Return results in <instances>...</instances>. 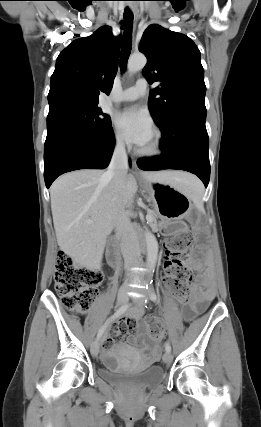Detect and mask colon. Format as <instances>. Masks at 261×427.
Segmentation results:
<instances>
[{"mask_svg":"<svg viewBox=\"0 0 261 427\" xmlns=\"http://www.w3.org/2000/svg\"><path fill=\"white\" fill-rule=\"evenodd\" d=\"M191 243L188 231L175 234L166 243L167 274L164 285L173 290L180 304L187 303L192 281V272L181 262V257ZM103 278L97 268H89L77 263L69 254L60 251L56 257L54 274L55 290L63 306L71 312L85 313L97 296V286ZM143 329L154 338L161 336L162 325L151 319L143 323Z\"/></svg>","mask_w":261,"mask_h":427,"instance_id":"colon-1","label":"colon"}]
</instances>
